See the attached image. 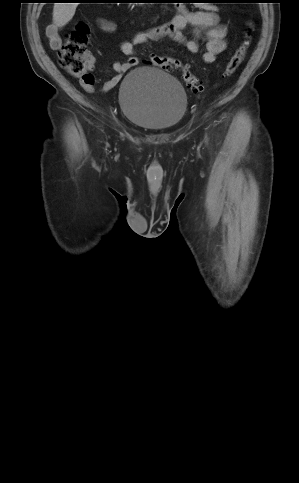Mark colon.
<instances>
[{"label":"colon","mask_w":299,"mask_h":483,"mask_svg":"<svg viewBox=\"0 0 299 483\" xmlns=\"http://www.w3.org/2000/svg\"><path fill=\"white\" fill-rule=\"evenodd\" d=\"M253 26L248 22L244 31L243 39L237 49L234 51L229 62L227 63L223 77L230 78L236 72L242 61L244 60L252 41ZM90 30L89 26L80 22L67 35L65 42L59 50L60 65L73 77L78 78L81 84L86 88H91L95 79L91 73L87 71L86 48L89 40ZM147 64L158 67L166 72L173 70H181L184 82L186 85L196 93L203 91V84L199 79L187 70L182 61L167 56H160L153 54L145 61Z\"/></svg>","instance_id":"1"}]
</instances>
